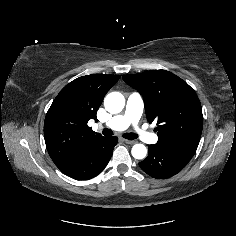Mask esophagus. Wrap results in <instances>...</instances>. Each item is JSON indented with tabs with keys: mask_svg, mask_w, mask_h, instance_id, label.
I'll return each mask as SVG.
<instances>
[{
	"mask_svg": "<svg viewBox=\"0 0 236 236\" xmlns=\"http://www.w3.org/2000/svg\"><path fill=\"white\" fill-rule=\"evenodd\" d=\"M123 141L126 143V144H135V141L134 140H128V139H123Z\"/></svg>",
	"mask_w": 236,
	"mask_h": 236,
	"instance_id": "34e87169",
	"label": "esophagus"
}]
</instances>
